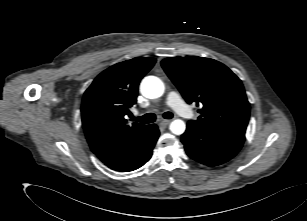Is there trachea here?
<instances>
[{"label": "trachea", "instance_id": "obj_1", "mask_svg": "<svg viewBox=\"0 0 307 221\" xmlns=\"http://www.w3.org/2000/svg\"><path fill=\"white\" fill-rule=\"evenodd\" d=\"M163 117L165 119H171L173 117V114L171 112H165L163 114ZM133 120L148 124V123H153L156 120V116L153 113H148L141 117H133Z\"/></svg>", "mask_w": 307, "mask_h": 221}]
</instances>
